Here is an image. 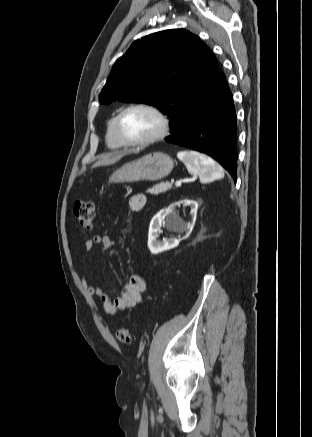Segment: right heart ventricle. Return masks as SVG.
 Instances as JSON below:
<instances>
[{"label":"right heart ventricle","instance_id":"right-heart-ventricle-1","mask_svg":"<svg viewBox=\"0 0 312 437\" xmlns=\"http://www.w3.org/2000/svg\"><path fill=\"white\" fill-rule=\"evenodd\" d=\"M117 115L112 116L107 123L106 143L112 149H120L126 145L120 140L115 129Z\"/></svg>","mask_w":312,"mask_h":437}]
</instances>
